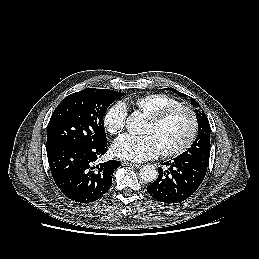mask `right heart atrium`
I'll use <instances>...</instances> for the list:
<instances>
[{"mask_svg":"<svg viewBox=\"0 0 259 259\" xmlns=\"http://www.w3.org/2000/svg\"><path fill=\"white\" fill-rule=\"evenodd\" d=\"M127 118L126 105L121 102H115L111 105L104 114L103 124L105 129L112 135L120 134L124 127Z\"/></svg>","mask_w":259,"mask_h":259,"instance_id":"d8ad5b80","label":"right heart atrium"}]
</instances>
